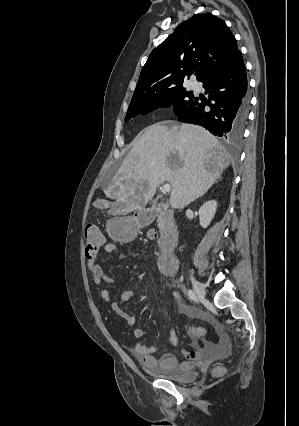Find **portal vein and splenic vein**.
Here are the masks:
<instances>
[{"label": "portal vein and splenic vein", "mask_w": 299, "mask_h": 426, "mask_svg": "<svg viewBox=\"0 0 299 426\" xmlns=\"http://www.w3.org/2000/svg\"><path fill=\"white\" fill-rule=\"evenodd\" d=\"M162 189L164 192H170L171 191V185L170 184H164L162 186Z\"/></svg>", "instance_id": "obj_1"}]
</instances>
